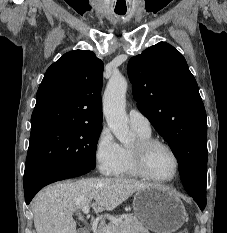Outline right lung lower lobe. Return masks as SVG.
I'll list each match as a JSON object with an SVG mask.
<instances>
[{"label":"right lung lower lobe","mask_w":227,"mask_h":233,"mask_svg":"<svg viewBox=\"0 0 227 233\" xmlns=\"http://www.w3.org/2000/svg\"><path fill=\"white\" fill-rule=\"evenodd\" d=\"M91 169L80 167H57L38 172L32 177L24 180V192L26 204H29L35 194L44 186L86 174Z\"/></svg>","instance_id":"98d812e1"}]
</instances>
